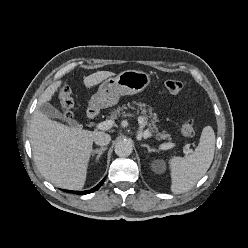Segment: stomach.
<instances>
[{
  "label": "stomach",
  "instance_id": "0dacf381",
  "mask_svg": "<svg viewBox=\"0 0 248 248\" xmlns=\"http://www.w3.org/2000/svg\"><path fill=\"white\" fill-rule=\"evenodd\" d=\"M151 83L150 75L143 71L125 70L116 77L104 81L96 94H94L89 106L94 110L114 106L120 96L133 95L143 91Z\"/></svg>",
  "mask_w": 248,
  "mask_h": 248
}]
</instances>
